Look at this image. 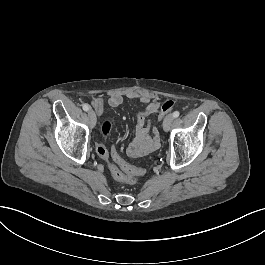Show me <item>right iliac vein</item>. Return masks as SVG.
<instances>
[{
	"label": "right iliac vein",
	"mask_w": 265,
	"mask_h": 265,
	"mask_svg": "<svg viewBox=\"0 0 265 265\" xmlns=\"http://www.w3.org/2000/svg\"><path fill=\"white\" fill-rule=\"evenodd\" d=\"M88 117H89V124L94 127L96 123V115L95 112L91 109L88 111Z\"/></svg>",
	"instance_id": "right-iliac-vein-1"
}]
</instances>
